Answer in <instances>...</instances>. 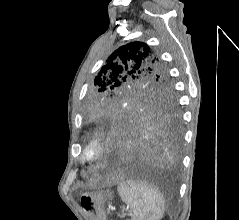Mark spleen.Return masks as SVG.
Here are the masks:
<instances>
[{
  "instance_id": "1",
  "label": "spleen",
  "mask_w": 239,
  "mask_h": 220,
  "mask_svg": "<svg viewBox=\"0 0 239 220\" xmlns=\"http://www.w3.org/2000/svg\"><path fill=\"white\" fill-rule=\"evenodd\" d=\"M123 202L130 207L131 220H161L165 212L162 194L146 182L126 180L118 185Z\"/></svg>"
}]
</instances>
